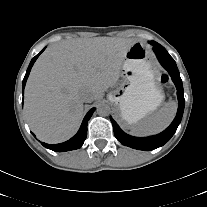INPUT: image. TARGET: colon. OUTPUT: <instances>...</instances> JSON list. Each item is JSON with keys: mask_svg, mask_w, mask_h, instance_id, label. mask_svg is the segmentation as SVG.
<instances>
[{"mask_svg": "<svg viewBox=\"0 0 207 207\" xmlns=\"http://www.w3.org/2000/svg\"><path fill=\"white\" fill-rule=\"evenodd\" d=\"M162 82H163V83H166V82H167V77H166V76H163V77H162Z\"/></svg>", "mask_w": 207, "mask_h": 207, "instance_id": "colon-1", "label": "colon"}]
</instances>
